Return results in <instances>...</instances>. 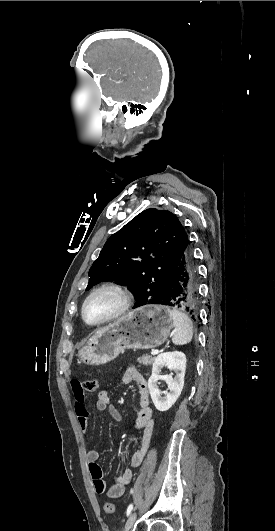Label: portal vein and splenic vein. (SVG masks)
<instances>
[{"label": "portal vein and splenic vein", "mask_w": 275, "mask_h": 531, "mask_svg": "<svg viewBox=\"0 0 275 531\" xmlns=\"http://www.w3.org/2000/svg\"><path fill=\"white\" fill-rule=\"evenodd\" d=\"M157 353H159V350H154V353H152L153 356H156Z\"/></svg>", "instance_id": "18ae733b"}]
</instances>
